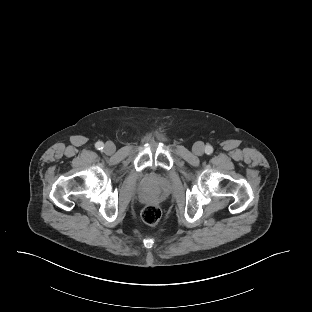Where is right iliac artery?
<instances>
[{
	"label": "right iliac artery",
	"mask_w": 312,
	"mask_h": 312,
	"mask_svg": "<svg viewBox=\"0 0 312 312\" xmlns=\"http://www.w3.org/2000/svg\"><path fill=\"white\" fill-rule=\"evenodd\" d=\"M95 147H96V149H98V150H102V149L104 148V144H103V142H97V143L95 144Z\"/></svg>",
	"instance_id": "82829eb1"
}]
</instances>
